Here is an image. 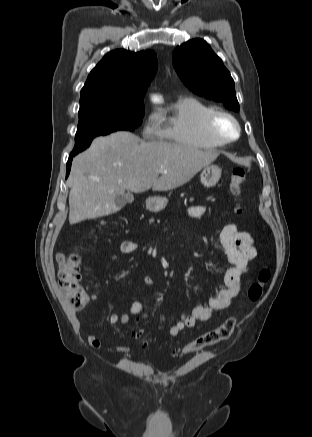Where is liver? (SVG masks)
Segmentation results:
<instances>
[{
  "label": "liver",
  "instance_id": "1",
  "mask_svg": "<svg viewBox=\"0 0 312 437\" xmlns=\"http://www.w3.org/2000/svg\"><path fill=\"white\" fill-rule=\"evenodd\" d=\"M214 150L169 142H144L129 132L98 137L72 161L69 223L114 212L125 191H168L189 182L217 159ZM159 174L161 176L159 177Z\"/></svg>",
  "mask_w": 312,
  "mask_h": 437
}]
</instances>
